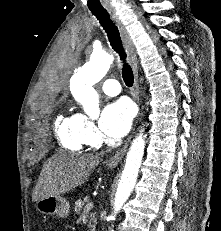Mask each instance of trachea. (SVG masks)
Returning <instances> with one entry per match:
<instances>
[{
    "mask_svg": "<svg viewBox=\"0 0 221 231\" xmlns=\"http://www.w3.org/2000/svg\"><path fill=\"white\" fill-rule=\"evenodd\" d=\"M92 14L99 20L101 26L107 33L109 42L112 48L119 54L123 62L122 77L126 86L131 87L134 83V76L132 68L126 62V54L122 46L121 37L118 28L115 26L107 11H91Z\"/></svg>",
    "mask_w": 221,
    "mask_h": 231,
    "instance_id": "1",
    "label": "trachea"
}]
</instances>
